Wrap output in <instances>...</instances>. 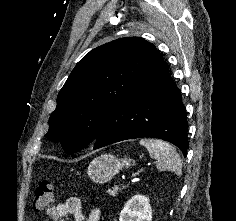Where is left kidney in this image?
I'll return each mask as SVG.
<instances>
[{
  "label": "left kidney",
  "instance_id": "1",
  "mask_svg": "<svg viewBox=\"0 0 236 221\" xmlns=\"http://www.w3.org/2000/svg\"><path fill=\"white\" fill-rule=\"evenodd\" d=\"M119 221H152L149 199L140 194L134 195L121 211Z\"/></svg>",
  "mask_w": 236,
  "mask_h": 221
}]
</instances>
